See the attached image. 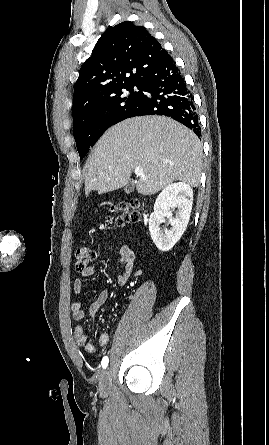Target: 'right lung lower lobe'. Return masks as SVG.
Masks as SVG:
<instances>
[{"label": "right lung lower lobe", "instance_id": "right-lung-lower-lobe-1", "mask_svg": "<svg viewBox=\"0 0 269 445\" xmlns=\"http://www.w3.org/2000/svg\"><path fill=\"white\" fill-rule=\"evenodd\" d=\"M142 94L127 118L165 115L200 136L193 97L172 57L148 72L140 82Z\"/></svg>", "mask_w": 269, "mask_h": 445}]
</instances>
